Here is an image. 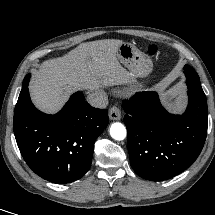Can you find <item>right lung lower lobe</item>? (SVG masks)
Segmentation results:
<instances>
[{"mask_svg":"<svg viewBox=\"0 0 215 215\" xmlns=\"http://www.w3.org/2000/svg\"><path fill=\"white\" fill-rule=\"evenodd\" d=\"M25 77L19 98L28 99L27 110L13 123L19 150L37 175L53 183L80 179L90 168L96 138L108 125L106 109L73 94L57 114H45L32 104Z\"/></svg>","mask_w":215,"mask_h":215,"instance_id":"right-lung-lower-lobe-1","label":"right lung lower lobe"}]
</instances>
